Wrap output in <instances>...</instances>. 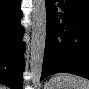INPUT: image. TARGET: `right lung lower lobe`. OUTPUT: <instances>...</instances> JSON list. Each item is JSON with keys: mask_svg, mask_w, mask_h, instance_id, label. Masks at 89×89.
<instances>
[{"mask_svg": "<svg viewBox=\"0 0 89 89\" xmlns=\"http://www.w3.org/2000/svg\"><path fill=\"white\" fill-rule=\"evenodd\" d=\"M21 0H0V83L22 89L24 71Z\"/></svg>", "mask_w": 89, "mask_h": 89, "instance_id": "98d812e1", "label": "right lung lower lobe"}]
</instances>
